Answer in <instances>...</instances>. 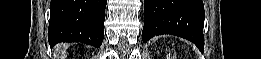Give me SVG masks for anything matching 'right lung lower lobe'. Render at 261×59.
<instances>
[{
    "label": "right lung lower lobe",
    "instance_id": "obj_1",
    "mask_svg": "<svg viewBox=\"0 0 261 59\" xmlns=\"http://www.w3.org/2000/svg\"><path fill=\"white\" fill-rule=\"evenodd\" d=\"M107 0H51L48 40L81 42L100 47Z\"/></svg>",
    "mask_w": 261,
    "mask_h": 59
}]
</instances>
